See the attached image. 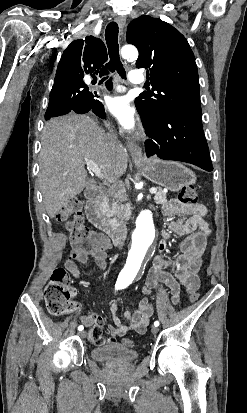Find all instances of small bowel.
I'll use <instances>...</instances> for the list:
<instances>
[{"mask_svg": "<svg viewBox=\"0 0 247 413\" xmlns=\"http://www.w3.org/2000/svg\"><path fill=\"white\" fill-rule=\"evenodd\" d=\"M163 212L173 220L169 225V229L162 232L163 240L158 245L159 255L154 258L152 267L147 273L142 292L149 294L152 289L164 285L170 291L172 303L177 304L181 285H186L187 297H190L191 293L199 291L200 282L189 280V278L196 275L200 269L202 255L206 248V238L210 233V229L203 219L205 208L200 204H182L173 201L163 206ZM172 233L185 237L181 242L182 254L174 260H166L162 254L167 249V240L171 238ZM105 249L92 252L75 250L67 257L65 268L74 278L81 276L80 264L89 260H93L99 269L104 270L107 267ZM109 309L112 313L114 325L109 328L110 338L107 340H104L102 335L96 334L99 328L98 325L101 322L96 310H89L87 315L80 318L83 326L91 327L87 333L89 341L94 345L107 343L109 349H116L118 347L116 339L122 337L128 331H135L139 334L145 333L154 312L147 299L140 302L139 310L124 312V321L116 315L118 310L116 302L110 303Z\"/></svg>", "mask_w": 247, "mask_h": 413, "instance_id": "c3829d8e", "label": "small bowel"}]
</instances>
